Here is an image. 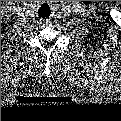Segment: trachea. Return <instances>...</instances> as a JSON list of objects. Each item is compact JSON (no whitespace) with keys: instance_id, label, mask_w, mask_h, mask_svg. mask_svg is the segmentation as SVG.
<instances>
[{"instance_id":"3493384b","label":"trachea","mask_w":121,"mask_h":121,"mask_svg":"<svg viewBox=\"0 0 121 121\" xmlns=\"http://www.w3.org/2000/svg\"><path fill=\"white\" fill-rule=\"evenodd\" d=\"M39 17L47 18L51 14V9L47 3H44L41 5V7L38 10Z\"/></svg>"}]
</instances>
